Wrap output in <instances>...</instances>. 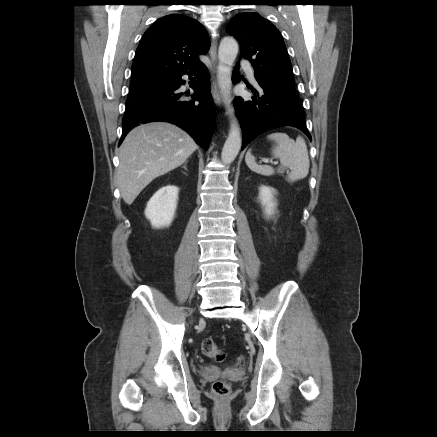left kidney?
<instances>
[{"label":"left kidney","instance_id":"1","mask_svg":"<svg viewBox=\"0 0 437 437\" xmlns=\"http://www.w3.org/2000/svg\"><path fill=\"white\" fill-rule=\"evenodd\" d=\"M260 201L264 208V213L269 218L275 213L276 202H274L275 189L262 185L259 188Z\"/></svg>","mask_w":437,"mask_h":437}]
</instances>
